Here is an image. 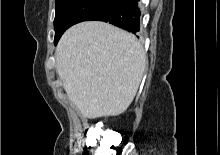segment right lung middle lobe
<instances>
[{
  "mask_svg": "<svg viewBox=\"0 0 220 155\" xmlns=\"http://www.w3.org/2000/svg\"><path fill=\"white\" fill-rule=\"evenodd\" d=\"M121 0H56L54 19L55 38L57 44L60 37L70 26L86 21L94 14L101 12Z\"/></svg>",
  "mask_w": 220,
  "mask_h": 155,
  "instance_id": "obj_1",
  "label": "right lung middle lobe"
}]
</instances>
